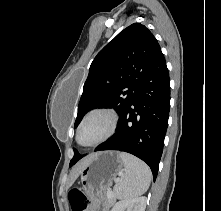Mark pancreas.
<instances>
[{
	"label": "pancreas",
	"mask_w": 221,
	"mask_h": 211,
	"mask_svg": "<svg viewBox=\"0 0 221 211\" xmlns=\"http://www.w3.org/2000/svg\"><path fill=\"white\" fill-rule=\"evenodd\" d=\"M107 192H108V190H107ZM107 203L109 206H112L115 203V198L114 197L107 198Z\"/></svg>",
	"instance_id": "obj_1"
}]
</instances>
